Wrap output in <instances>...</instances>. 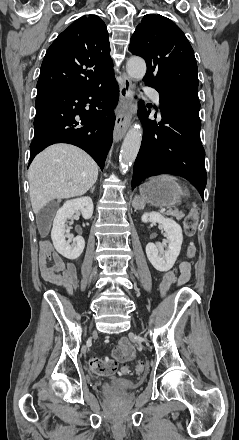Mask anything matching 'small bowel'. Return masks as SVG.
<instances>
[{
  "mask_svg": "<svg viewBox=\"0 0 239 440\" xmlns=\"http://www.w3.org/2000/svg\"><path fill=\"white\" fill-rule=\"evenodd\" d=\"M50 261L52 264L50 265ZM39 264L45 281L63 287L71 293L76 287V268L71 262L64 263L62 257L49 243L42 245L39 255ZM178 284H185L190 278V264L182 262L179 266Z\"/></svg>",
  "mask_w": 239,
  "mask_h": 440,
  "instance_id": "small-bowel-1",
  "label": "small bowel"
}]
</instances>
